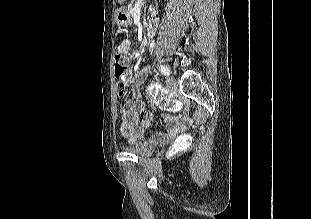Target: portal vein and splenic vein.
I'll use <instances>...</instances> for the list:
<instances>
[{
    "label": "portal vein and splenic vein",
    "instance_id": "obj_1",
    "mask_svg": "<svg viewBox=\"0 0 311 219\" xmlns=\"http://www.w3.org/2000/svg\"><path fill=\"white\" fill-rule=\"evenodd\" d=\"M135 7H136L137 9H140V7H141V2L138 1V2L136 3Z\"/></svg>",
    "mask_w": 311,
    "mask_h": 219
}]
</instances>
